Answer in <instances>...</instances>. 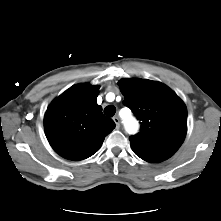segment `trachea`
Instances as JSON below:
<instances>
[{
  "label": "trachea",
  "instance_id": "3493384b",
  "mask_svg": "<svg viewBox=\"0 0 221 221\" xmlns=\"http://www.w3.org/2000/svg\"><path fill=\"white\" fill-rule=\"evenodd\" d=\"M115 113H116V108L113 105H109L104 108V114L108 117L114 116Z\"/></svg>",
  "mask_w": 221,
  "mask_h": 221
}]
</instances>
